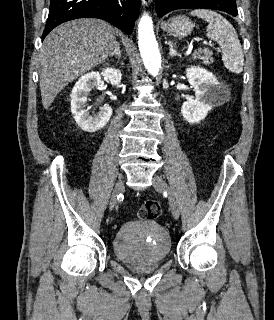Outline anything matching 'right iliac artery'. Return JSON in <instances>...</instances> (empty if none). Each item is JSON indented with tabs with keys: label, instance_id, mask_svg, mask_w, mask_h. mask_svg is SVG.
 I'll return each mask as SVG.
<instances>
[{
	"label": "right iliac artery",
	"instance_id": "82829eb1",
	"mask_svg": "<svg viewBox=\"0 0 274 320\" xmlns=\"http://www.w3.org/2000/svg\"><path fill=\"white\" fill-rule=\"evenodd\" d=\"M117 199L119 200H121V199H123V195L122 194H119V195H117Z\"/></svg>",
	"mask_w": 274,
	"mask_h": 320
}]
</instances>
